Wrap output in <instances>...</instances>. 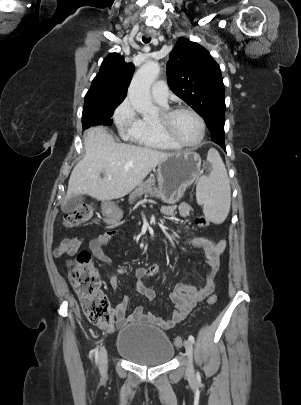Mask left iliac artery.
Returning <instances> with one entry per match:
<instances>
[{
  "label": "left iliac artery",
  "mask_w": 301,
  "mask_h": 405,
  "mask_svg": "<svg viewBox=\"0 0 301 405\" xmlns=\"http://www.w3.org/2000/svg\"><path fill=\"white\" fill-rule=\"evenodd\" d=\"M188 339H189V341H191L192 343L195 342V339H194V337H193L192 335H190Z\"/></svg>",
  "instance_id": "left-iliac-artery-1"
}]
</instances>
